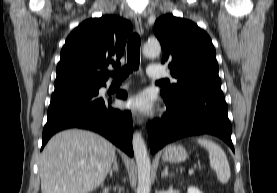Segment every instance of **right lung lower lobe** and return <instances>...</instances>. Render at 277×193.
<instances>
[{"label": "right lung lower lobe", "mask_w": 277, "mask_h": 193, "mask_svg": "<svg viewBox=\"0 0 277 193\" xmlns=\"http://www.w3.org/2000/svg\"><path fill=\"white\" fill-rule=\"evenodd\" d=\"M98 93L99 88L54 91L43 129L42 148L56 132L77 127L103 135L133 156L131 113L111 108V99L102 98ZM117 96L125 99L127 94L119 91Z\"/></svg>", "instance_id": "right-lung-lower-lobe-1"}]
</instances>
